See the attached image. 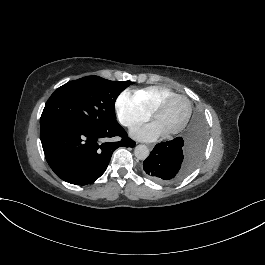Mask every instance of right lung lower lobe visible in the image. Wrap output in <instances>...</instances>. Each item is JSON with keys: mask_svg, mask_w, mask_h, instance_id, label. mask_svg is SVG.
I'll list each match as a JSON object with an SVG mask.
<instances>
[{"mask_svg": "<svg viewBox=\"0 0 265 265\" xmlns=\"http://www.w3.org/2000/svg\"><path fill=\"white\" fill-rule=\"evenodd\" d=\"M114 136H120L121 141H106ZM40 138L52 170L62 180L75 185L90 184L98 179L118 147L135 146L118 123L102 127L62 122L41 129Z\"/></svg>", "mask_w": 265, "mask_h": 265, "instance_id": "1", "label": "right lung lower lobe"}]
</instances>
